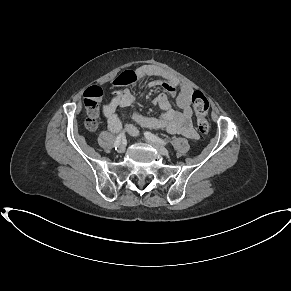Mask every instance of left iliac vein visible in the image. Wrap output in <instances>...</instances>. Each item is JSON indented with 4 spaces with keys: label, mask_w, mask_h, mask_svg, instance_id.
<instances>
[{
    "label": "left iliac vein",
    "mask_w": 291,
    "mask_h": 291,
    "mask_svg": "<svg viewBox=\"0 0 291 291\" xmlns=\"http://www.w3.org/2000/svg\"><path fill=\"white\" fill-rule=\"evenodd\" d=\"M145 140L147 142H149L160 154H162L164 156H168L169 155V151L165 147H163L162 145H160L159 143L153 142V141H151L148 138H145Z\"/></svg>",
    "instance_id": "4c4485c4"
}]
</instances>
